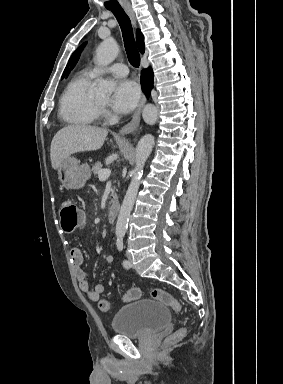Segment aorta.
Returning a JSON list of instances; mask_svg holds the SVG:
<instances>
[{
	"label": "aorta",
	"mask_w": 283,
	"mask_h": 384,
	"mask_svg": "<svg viewBox=\"0 0 283 384\" xmlns=\"http://www.w3.org/2000/svg\"><path fill=\"white\" fill-rule=\"evenodd\" d=\"M118 53L119 47L116 41L113 39H106L96 50V62L101 66L108 65L117 57ZM113 89L114 82L101 80L95 88V95L98 97H109ZM142 117L147 124H155L158 117L157 108L153 104H147L143 108ZM154 143V137L150 134L144 135L138 142L136 148L135 168L132 171V178L123 199L116 223L117 237H123L126 233L130 213L141 183L143 168L153 149Z\"/></svg>",
	"instance_id": "aorta-1"
}]
</instances>
